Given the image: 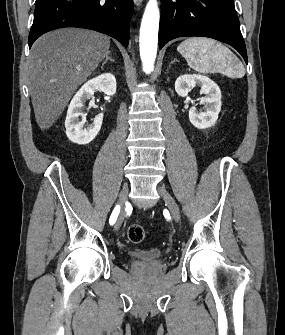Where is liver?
<instances>
[{"label":"liver","instance_id":"liver-1","mask_svg":"<svg viewBox=\"0 0 285 335\" xmlns=\"http://www.w3.org/2000/svg\"><path fill=\"white\" fill-rule=\"evenodd\" d=\"M109 48L107 36L82 28H62L36 40L27 76L41 130H48L60 118L74 92L103 62Z\"/></svg>","mask_w":285,"mask_h":335}]
</instances>
